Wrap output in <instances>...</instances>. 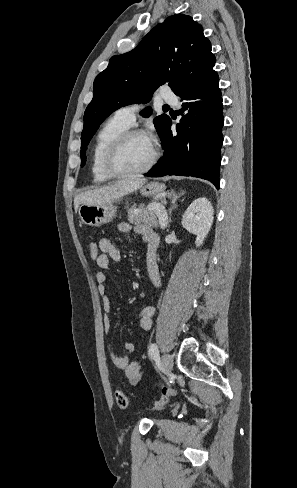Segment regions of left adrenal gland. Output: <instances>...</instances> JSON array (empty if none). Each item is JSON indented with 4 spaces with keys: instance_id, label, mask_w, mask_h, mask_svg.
<instances>
[{
    "instance_id": "a2214340",
    "label": "left adrenal gland",
    "mask_w": 297,
    "mask_h": 488,
    "mask_svg": "<svg viewBox=\"0 0 297 488\" xmlns=\"http://www.w3.org/2000/svg\"><path fill=\"white\" fill-rule=\"evenodd\" d=\"M183 194H184V192H181L180 194H176L174 190H171V192L169 194V199L171 200L172 206L169 209V219H168V222L171 221V213H172V210L174 208H176V206H177L176 202H177L178 198H180V196H182Z\"/></svg>"
}]
</instances>
